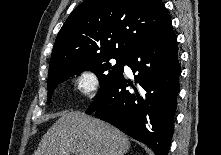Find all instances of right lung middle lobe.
Wrapping results in <instances>:
<instances>
[{
    "label": "right lung middle lobe",
    "instance_id": "1",
    "mask_svg": "<svg viewBox=\"0 0 221 155\" xmlns=\"http://www.w3.org/2000/svg\"><path fill=\"white\" fill-rule=\"evenodd\" d=\"M113 59L116 60V63L113 61ZM125 60L126 57H108L98 60L81 61L71 66L64 67L49 73L47 82L48 104L50 103L52 93L58 84L67 80L71 76L86 70L92 71L97 75L101 86L97 96L101 95L122 73Z\"/></svg>",
    "mask_w": 221,
    "mask_h": 155
}]
</instances>
